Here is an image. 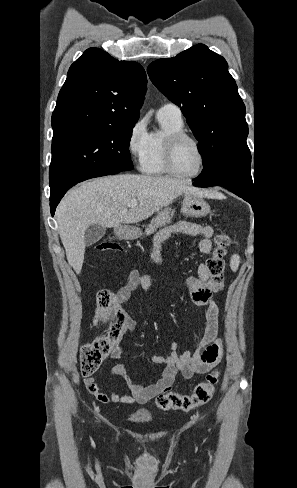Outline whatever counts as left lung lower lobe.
Masks as SVG:
<instances>
[{
    "mask_svg": "<svg viewBox=\"0 0 297 488\" xmlns=\"http://www.w3.org/2000/svg\"><path fill=\"white\" fill-rule=\"evenodd\" d=\"M193 184H194V186H198L195 182ZM219 186H222V187L228 189L229 191L233 192L237 196L243 198L245 201L249 202L251 205L254 202V194L253 193H250V192L245 191L241 188H237V187H234V186L228 185V184H222ZM198 187H200V186H198Z\"/></svg>",
    "mask_w": 297,
    "mask_h": 488,
    "instance_id": "1",
    "label": "left lung lower lobe"
}]
</instances>
